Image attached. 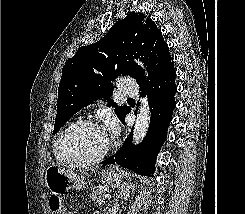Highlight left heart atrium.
I'll list each match as a JSON object with an SVG mask.
<instances>
[{
  "label": "left heart atrium",
  "mask_w": 245,
  "mask_h": 214,
  "mask_svg": "<svg viewBox=\"0 0 245 214\" xmlns=\"http://www.w3.org/2000/svg\"><path fill=\"white\" fill-rule=\"evenodd\" d=\"M117 130H118V126L114 120H109L106 124L105 129H104L109 140L115 136V134L117 133Z\"/></svg>",
  "instance_id": "left-heart-atrium-1"
}]
</instances>
